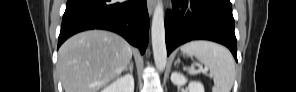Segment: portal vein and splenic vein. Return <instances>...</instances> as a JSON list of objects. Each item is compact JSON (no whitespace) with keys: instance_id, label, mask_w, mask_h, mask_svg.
Returning <instances> with one entry per match:
<instances>
[{"instance_id":"1","label":"portal vein and splenic vein","mask_w":296,"mask_h":92,"mask_svg":"<svg viewBox=\"0 0 296 92\" xmlns=\"http://www.w3.org/2000/svg\"><path fill=\"white\" fill-rule=\"evenodd\" d=\"M208 71V68H203V67H200L199 69H193V70H190L189 71V73H191V74H196V73H200V72H202V73H205V72H207Z\"/></svg>"}]
</instances>
